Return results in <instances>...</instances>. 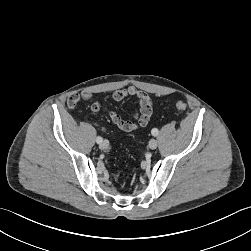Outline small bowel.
Segmentation results:
<instances>
[{
	"label": "small bowel",
	"instance_id": "small-bowel-1",
	"mask_svg": "<svg viewBox=\"0 0 251 251\" xmlns=\"http://www.w3.org/2000/svg\"><path fill=\"white\" fill-rule=\"evenodd\" d=\"M128 96H136L139 100V109L135 112L132 119L125 120L114 110H110L104 107L102 102L94 101L91 105V111L98 113L101 110H105L111 121L122 131L131 132L136 129L145 127L153 112V100L151 96L143 90L135 86H129L125 89L115 90L112 93V98L115 101H121ZM92 94L90 92H82L81 94L72 95L68 98V106L74 109L81 100L91 99Z\"/></svg>",
	"mask_w": 251,
	"mask_h": 251
}]
</instances>
